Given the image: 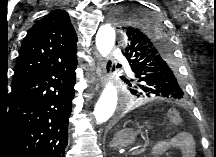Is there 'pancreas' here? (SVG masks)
Here are the masks:
<instances>
[{
  "label": "pancreas",
  "instance_id": "pancreas-1",
  "mask_svg": "<svg viewBox=\"0 0 216 157\" xmlns=\"http://www.w3.org/2000/svg\"><path fill=\"white\" fill-rule=\"evenodd\" d=\"M140 153H142V152H134V153H132V154H140Z\"/></svg>",
  "mask_w": 216,
  "mask_h": 157
}]
</instances>
